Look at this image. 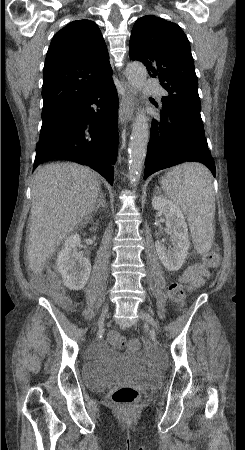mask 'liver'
Segmentation results:
<instances>
[{
    "label": "liver",
    "mask_w": 245,
    "mask_h": 450,
    "mask_svg": "<svg viewBox=\"0 0 245 450\" xmlns=\"http://www.w3.org/2000/svg\"><path fill=\"white\" fill-rule=\"evenodd\" d=\"M100 191V182L87 167L57 163L37 169L27 246L34 273L41 272L63 239L89 218Z\"/></svg>",
    "instance_id": "obj_1"
}]
</instances>
